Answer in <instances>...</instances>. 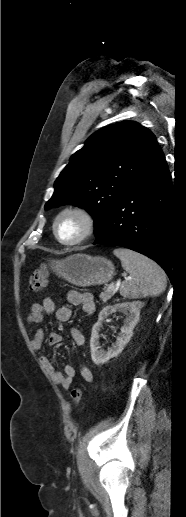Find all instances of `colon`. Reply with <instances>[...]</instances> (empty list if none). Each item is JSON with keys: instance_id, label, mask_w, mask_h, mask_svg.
Instances as JSON below:
<instances>
[{"instance_id": "colon-1", "label": "colon", "mask_w": 186, "mask_h": 517, "mask_svg": "<svg viewBox=\"0 0 186 517\" xmlns=\"http://www.w3.org/2000/svg\"><path fill=\"white\" fill-rule=\"evenodd\" d=\"M49 271L46 266H41L35 269L29 279L30 288L34 291H39L46 286ZM72 404L77 406L82 398V390L79 387H74L70 393Z\"/></svg>"}]
</instances>
